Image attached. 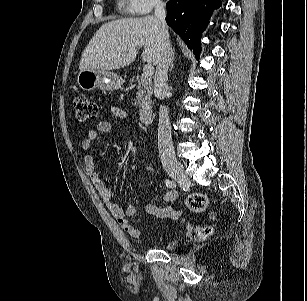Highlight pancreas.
<instances>
[{
  "instance_id": "cf45deb5",
  "label": "pancreas",
  "mask_w": 307,
  "mask_h": 301,
  "mask_svg": "<svg viewBox=\"0 0 307 301\" xmlns=\"http://www.w3.org/2000/svg\"><path fill=\"white\" fill-rule=\"evenodd\" d=\"M134 78L130 80V85L132 88H137L136 93V101L135 105H140L142 100H150L152 95V81L149 77L145 75L137 76L136 82H138V85L134 83Z\"/></svg>"
}]
</instances>
